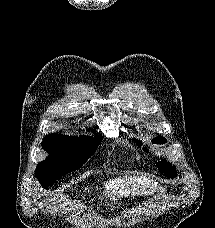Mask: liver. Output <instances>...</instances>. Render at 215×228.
<instances>
[{
    "instance_id": "liver-1",
    "label": "liver",
    "mask_w": 215,
    "mask_h": 228,
    "mask_svg": "<svg viewBox=\"0 0 215 228\" xmlns=\"http://www.w3.org/2000/svg\"><path fill=\"white\" fill-rule=\"evenodd\" d=\"M106 192H103V198L115 202L116 198H134V196H150L154 192L157 184L145 176H123L115 178L104 184Z\"/></svg>"
}]
</instances>
